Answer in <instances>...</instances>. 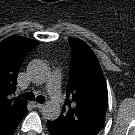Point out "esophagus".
Here are the masks:
<instances>
[{
  "label": "esophagus",
  "instance_id": "obj_1",
  "mask_svg": "<svg viewBox=\"0 0 135 135\" xmlns=\"http://www.w3.org/2000/svg\"><path fill=\"white\" fill-rule=\"evenodd\" d=\"M32 105H33V107H35V108H42L44 105L43 104H41V103H38V102H32Z\"/></svg>",
  "mask_w": 135,
  "mask_h": 135
}]
</instances>
